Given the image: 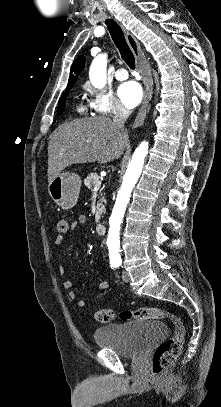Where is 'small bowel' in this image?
<instances>
[{
	"instance_id": "obj_1",
	"label": "small bowel",
	"mask_w": 221,
	"mask_h": 407,
	"mask_svg": "<svg viewBox=\"0 0 221 407\" xmlns=\"http://www.w3.org/2000/svg\"><path fill=\"white\" fill-rule=\"evenodd\" d=\"M85 222H86L85 216H84V215H80V216L78 217V219L76 220V222L72 225V230H75V229H77V228L83 226V225L85 224ZM63 241H64V237H63V236H57L56 239H55V245H56L57 247H59V246L62 244ZM59 273H60V275H64V274H65V269H64V267H63L62 265L59 266ZM108 286H109V284H108L107 281H102V282L99 284V289H100V290H104V289H106ZM62 287H63L65 290H68V291H69V293H68L69 299H71V300H76V299H77V294H76L74 291H70L71 288H72V282H71V281H69V280H64V281L62 282ZM77 304H78L79 307H85V306H86V302H85L84 300H82V299H79V300L77 301Z\"/></svg>"
}]
</instances>
